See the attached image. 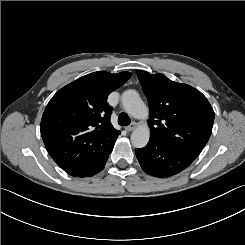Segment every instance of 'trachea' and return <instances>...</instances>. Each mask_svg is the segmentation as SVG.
Instances as JSON below:
<instances>
[{"label":"trachea","instance_id":"trachea-1","mask_svg":"<svg viewBox=\"0 0 245 245\" xmlns=\"http://www.w3.org/2000/svg\"><path fill=\"white\" fill-rule=\"evenodd\" d=\"M130 118L129 116L122 112L119 117H118V124L121 125V126H128L130 124Z\"/></svg>","mask_w":245,"mask_h":245}]
</instances>
